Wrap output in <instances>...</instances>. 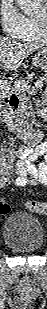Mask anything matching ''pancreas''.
Masks as SVG:
<instances>
[{"label":"pancreas","instance_id":"cf45deb5","mask_svg":"<svg viewBox=\"0 0 47 309\" xmlns=\"http://www.w3.org/2000/svg\"><path fill=\"white\" fill-rule=\"evenodd\" d=\"M41 78V81L46 82L47 81V76L44 75ZM22 81V80H21ZM25 81V80H23ZM26 83L29 84L28 81H25ZM27 90L25 88H18L16 86H14L13 91H15L16 93H18L19 95L22 96V98L24 99V101L27 100ZM28 107L25 105L23 106L21 109H19L16 113H15V121L20 125V126H26L29 124V116H30V112L28 111Z\"/></svg>","mask_w":47,"mask_h":309}]
</instances>
